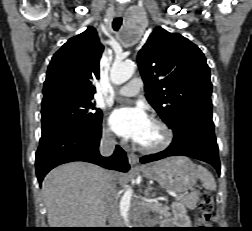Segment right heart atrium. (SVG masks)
<instances>
[{"mask_svg": "<svg viewBox=\"0 0 252 231\" xmlns=\"http://www.w3.org/2000/svg\"><path fill=\"white\" fill-rule=\"evenodd\" d=\"M102 137L105 141L114 143L115 142V136L111 132V130L108 127H104L102 132Z\"/></svg>", "mask_w": 252, "mask_h": 231, "instance_id": "right-heart-atrium-1", "label": "right heart atrium"}]
</instances>
